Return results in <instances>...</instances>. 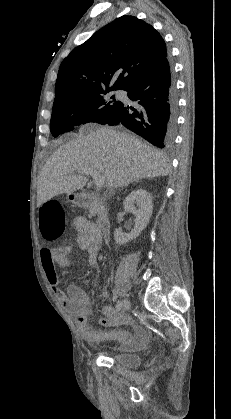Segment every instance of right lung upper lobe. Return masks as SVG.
Listing matches in <instances>:
<instances>
[{
    "label": "right lung upper lobe",
    "instance_id": "1",
    "mask_svg": "<svg viewBox=\"0 0 231 419\" xmlns=\"http://www.w3.org/2000/svg\"><path fill=\"white\" fill-rule=\"evenodd\" d=\"M167 56L163 38L150 24L134 16L119 17L62 61L54 103L108 89L123 90Z\"/></svg>",
    "mask_w": 231,
    "mask_h": 419
}]
</instances>
